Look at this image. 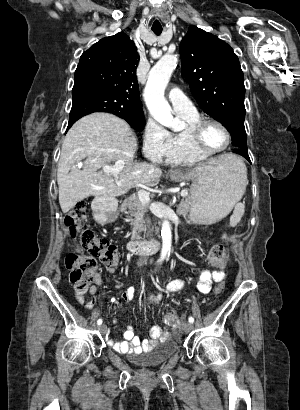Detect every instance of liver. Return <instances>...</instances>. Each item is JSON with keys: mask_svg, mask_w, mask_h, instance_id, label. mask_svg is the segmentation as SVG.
Here are the masks:
<instances>
[{"mask_svg": "<svg viewBox=\"0 0 300 410\" xmlns=\"http://www.w3.org/2000/svg\"><path fill=\"white\" fill-rule=\"evenodd\" d=\"M137 139L130 126L119 117L93 113L78 120L68 131L58 163L59 203L63 213L89 196L116 197L136 184L155 186L162 170L148 163H133ZM234 158L223 154L197 167L222 165ZM85 159L82 170L70 171ZM121 161L122 170L111 174L109 163ZM103 167L105 172H96Z\"/></svg>", "mask_w": 300, "mask_h": 410, "instance_id": "liver-1", "label": "liver"}]
</instances>
